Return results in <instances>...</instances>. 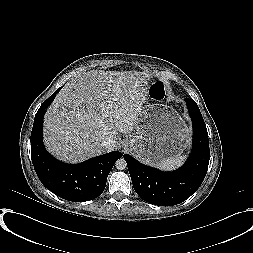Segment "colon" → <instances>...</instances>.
Here are the masks:
<instances>
[{"instance_id":"obj_1","label":"colon","mask_w":253,"mask_h":253,"mask_svg":"<svg viewBox=\"0 0 253 253\" xmlns=\"http://www.w3.org/2000/svg\"><path fill=\"white\" fill-rule=\"evenodd\" d=\"M168 93L167 84L160 79L154 80L148 89V94L155 101L163 100Z\"/></svg>"}]
</instances>
